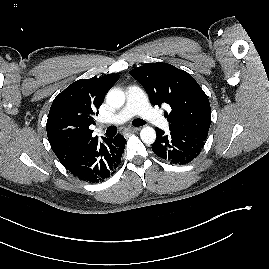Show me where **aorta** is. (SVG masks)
Here are the masks:
<instances>
[{
  "instance_id": "1",
  "label": "aorta",
  "mask_w": 269,
  "mask_h": 269,
  "mask_svg": "<svg viewBox=\"0 0 269 269\" xmlns=\"http://www.w3.org/2000/svg\"><path fill=\"white\" fill-rule=\"evenodd\" d=\"M106 102L113 108H120L125 103V94L120 89H112L106 95ZM141 140L146 144H152L156 140V132L150 127L146 126L140 131Z\"/></svg>"
}]
</instances>
